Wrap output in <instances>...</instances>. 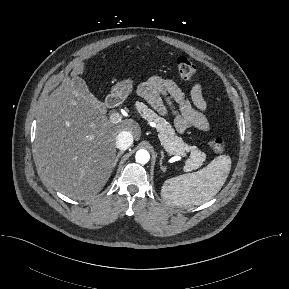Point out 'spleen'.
<instances>
[{"label":"spleen","instance_id":"spleen-1","mask_svg":"<svg viewBox=\"0 0 289 289\" xmlns=\"http://www.w3.org/2000/svg\"><path fill=\"white\" fill-rule=\"evenodd\" d=\"M231 169V158L220 155L206 167L166 180L162 198L170 205L192 207L212 199L224 185Z\"/></svg>","mask_w":289,"mask_h":289}]
</instances>
